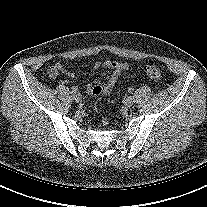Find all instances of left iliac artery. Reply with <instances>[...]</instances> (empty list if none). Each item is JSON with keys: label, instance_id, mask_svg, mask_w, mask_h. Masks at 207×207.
I'll return each instance as SVG.
<instances>
[{"label": "left iliac artery", "instance_id": "44dca946", "mask_svg": "<svg viewBox=\"0 0 207 207\" xmlns=\"http://www.w3.org/2000/svg\"><path fill=\"white\" fill-rule=\"evenodd\" d=\"M133 91H134L133 88H129V89H128V92H129V93H132Z\"/></svg>", "mask_w": 207, "mask_h": 207}]
</instances>
